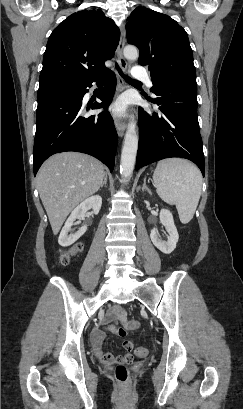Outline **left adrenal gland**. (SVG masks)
Segmentation results:
<instances>
[{
	"instance_id": "a2214340",
	"label": "left adrenal gland",
	"mask_w": 243,
	"mask_h": 409,
	"mask_svg": "<svg viewBox=\"0 0 243 409\" xmlns=\"http://www.w3.org/2000/svg\"><path fill=\"white\" fill-rule=\"evenodd\" d=\"M146 191V192H148L149 194H151V190L147 187V185H146V178L144 179V181H143V186H142V191Z\"/></svg>"
}]
</instances>
